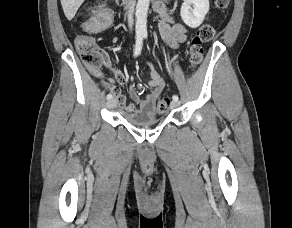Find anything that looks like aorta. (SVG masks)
Wrapping results in <instances>:
<instances>
[{
	"label": "aorta",
	"instance_id": "762f6f07",
	"mask_svg": "<svg viewBox=\"0 0 292 228\" xmlns=\"http://www.w3.org/2000/svg\"><path fill=\"white\" fill-rule=\"evenodd\" d=\"M150 0H138L136 6V31L139 33L147 32V13Z\"/></svg>",
	"mask_w": 292,
	"mask_h": 228
}]
</instances>
